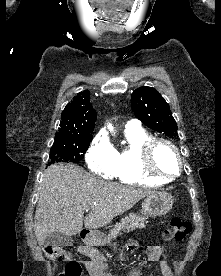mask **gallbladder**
Masks as SVG:
<instances>
[{
    "instance_id": "gallbladder-1",
    "label": "gallbladder",
    "mask_w": 221,
    "mask_h": 276,
    "mask_svg": "<svg viewBox=\"0 0 221 276\" xmlns=\"http://www.w3.org/2000/svg\"><path fill=\"white\" fill-rule=\"evenodd\" d=\"M72 244H73L72 237L65 235L59 231L49 234L45 240V245L54 246V247L71 246Z\"/></svg>"
}]
</instances>
